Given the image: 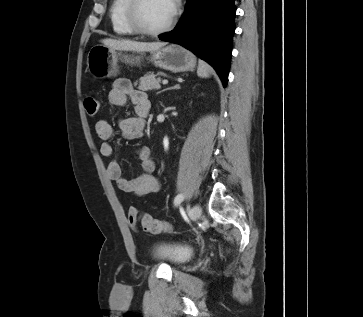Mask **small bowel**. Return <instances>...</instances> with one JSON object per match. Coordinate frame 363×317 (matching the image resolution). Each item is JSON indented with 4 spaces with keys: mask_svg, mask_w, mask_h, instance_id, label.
<instances>
[{
    "mask_svg": "<svg viewBox=\"0 0 363 317\" xmlns=\"http://www.w3.org/2000/svg\"><path fill=\"white\" fill-rule=\"evenodd\" d=\"M108 100L110 104L119 107L125 106L128 100L131 101L135 106V116L122 119L119 122V130L124 139L141 138L145 127V118L151 106L147 95L134 89L130 80L120 78L114 81L108 94ZM95 131L98 137L103 140L100 146L101 154L110 158L107 165L108 178L115 182L120 190L137 197H144L161 189L159 180L153 174L155 162L151 150L147 146H140L136 150L141 162V174L133 179H128L123 174L121 163L115 157V147L111 143L116 135L113 126L105 120H99L95 124Z\"/></svg>",
    "mask_w": 363,
    "mask_h": 317,
    "instance_id": "small-bowel-1",
    "label": "small bowel"
}]
</instances>
